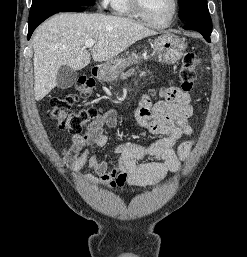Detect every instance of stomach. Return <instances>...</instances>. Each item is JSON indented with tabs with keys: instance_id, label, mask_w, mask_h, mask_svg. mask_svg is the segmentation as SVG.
Segmentation results:
<instances>
[{
	"instance_id": "stomach-1",
	"label": "stomach",
	"mask_w": 247,
	"mask_h": 257,
	"mask_svg": "<svg viewBox=\"0 0 247 257\" xmlns=\"http://www.w3.org/2000/svg\"><path fill=\"white\" fill-rule=\"evenodd\" d=\"M159 61L168 65L176 63L185 50L184 41L173 34H163L154 40L152 45ZM138 57L124 56L115 58L105 64L99 65L97 77L103 81H113L127 67L137 63Z\"/></svg>"
}]
</instances>
